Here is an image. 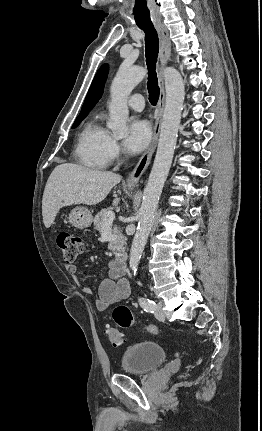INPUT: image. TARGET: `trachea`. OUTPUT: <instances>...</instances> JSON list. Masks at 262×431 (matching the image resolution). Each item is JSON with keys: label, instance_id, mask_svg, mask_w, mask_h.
I'll return each instance as SVG.
<instances>
[{"label": "trachea", "instance_id": "trachea-1", "mask_svg": "<svg viewBox=\"0 0 262 431\" xmlns=\"http://www.w3.org/2000/svg\"><path fill=\"white\" fill-rule=\"evenodd\" d=\"M135 9L138 14H145L148 12L146 0H135ZM145 33V52L146 64L148 67V92L149 101L152 105H156L159 99V86L156 74V62L159 52V40L155 27L152 26H139Z\"/></svg>", "mask_w": 262, "mask_h": 431}]
</instances>
